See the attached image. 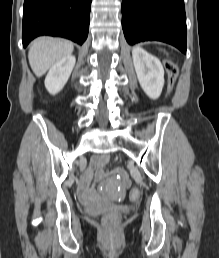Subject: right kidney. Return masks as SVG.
<instances>
[{"mask_svg": "<svg viewBox=\"0 0 219 258\" xmlns=\"http://www.w3.org/2000/svg\"><path fill=\"white\" fill-rule=\"evenodd\" d=\"M75 62L76 58L69 55L50 68L45 78V87L50 94L55 95L63 89L71 75Z\"/></svg>", "mask_w": 219, "mask_h": 258, "instance_id": "1", "label": "right kidney"}]
</instances>
